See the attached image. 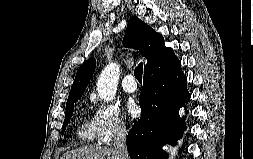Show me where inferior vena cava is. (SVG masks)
Returning <instances> with one entry per match:
<instances>
[{
	"instance_id": "1",
	"label": "inferior vena cava",
	"mask_w": 253,
	"mask_h": 159,
	"mask_svg": "<svg viewBox=\"0 0 253 159\" xmlns=\"http://www.w3.org/2000/svg\"><path fill=\"white\" fill-rule=\"evenodd\" d=\"M126 128L124 125L119 124L116 128L114 135V151L118 154L120 159H129L126 148Z\"/></svg>"
}]
</instances>
